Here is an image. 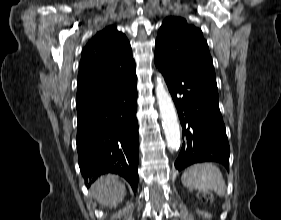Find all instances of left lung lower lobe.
I'll use <instances>...</instances> for the list:
<instances>
[{
	"label": "left lung lower lobe",
	"instance_id": "1",
	"mask_svg": "<svg viewBox=\"0 0 281 220\" xmlns=\"http://www.w3.org/2000/svg\"><path fill=\"white\" fill-rule=\"evenodd\" d=\"M177 108L184 141L175 168L216 161L229 168L230 148L216 83L181 64L156 61Z\"/></svg>",
	"mask_w": 281,
	"mask_h": 220
}]
</instances>
